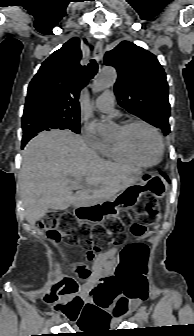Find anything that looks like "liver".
Listing matches in <instances>:
<instances>
[{
    "instance_id": "liver-1",
    "label": "liver",
    "mask_w": 194,
    "mask_h": 336,
    "mask_svg": "<svg viewBox=\"0 0 194 336\" xmlns=\"http://www.w3.org/2000/svg\"><path fill=\"white\" fill-rule=\"evenodd\" d=\"M140 175L135 167L101 159L70 131L41 133L22 152L20 187L26 220L35 225L48 209L65 210L71 204L88 207L110 200L135 184Z\"/></svg>"
}]
</instances>
